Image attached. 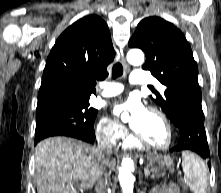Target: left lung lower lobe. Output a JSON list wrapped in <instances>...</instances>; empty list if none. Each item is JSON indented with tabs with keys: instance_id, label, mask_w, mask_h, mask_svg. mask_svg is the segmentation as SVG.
I'll list each match as a JSON object with an SVG mask.
<instances>
[{
	"instance_id": "1",
	"label": "left lung lower lobe",
	"mask_w": 221,
	"mask_h": 193,
	"mask_svg": "<svg viewBox=\"0 0 221 193\" xmlns=\"http://www.w3.org/2000/svg\"><path fill=\"white\" fill-rule=\"evenodd\" d=\"M203 121L201 101L194 100L187 103L185 110L182 111L181 124L178 126L180 139L171 151H192L208 159L210 152ZM208 166L211 168L209 163Z\"/></svg>"
}]
</instances>
